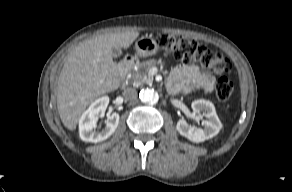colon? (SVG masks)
<instances>
[{"mask_svg":"<svg viewBox=\"0 0 292 192\" xmlns=\"http://www.w3.org/2000/svg\"><path fill=\"white\" fill-rule=\"evenodd\" d=\"M156 42L167 54L183 64H197L204 74H223L232 68L230 60L222 52L211 50L201 42L177 34L161 33ZM219 100L225 101L233 93V83L226 77H219L215 85Z\"/></svg>","mask_w":292,"mask_h":192,"instance_id":"colon-1","label":"colon"}]
</instances>
